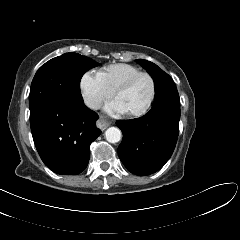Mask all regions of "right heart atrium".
<instances>
[{
	"instance_id": "obj_1",
	"label": "right heart atrium",
	"mask_w": 240,
	"mask_h": 240,
	"mask_svg": "<svg viewBox=\"0 0 240 240\" xmlns=\"http://www.w3.org/2000/svg\"><path fill=\"white\" fill-rule=\"evenodd\" d=\"M80 90L84 102L92 109H98L114 94V91L102 81L99 75L92 73H86L82 76Z\"/></svg>"
}]
</instances>
